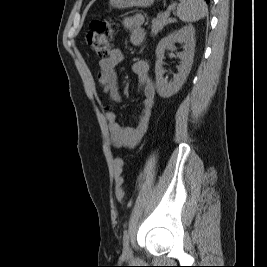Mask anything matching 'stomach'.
I'll list each match as a JSON object with an SVG mask.
<instances>
[{"mask_svg": "<svg viewBox=\"0 0 267 267\" xmlns=\"http://www.w3.org/2000/svg\"><path fill=\"white\" fill-rule=\"evenodd\" d=\"M155 0H109L110 6L118 9L131 7H149Z\"/></svg>", "mask_w": 267, "mask_h": 267, "instance_id": "obj_1", "label": "stomach"}]
</instances>
